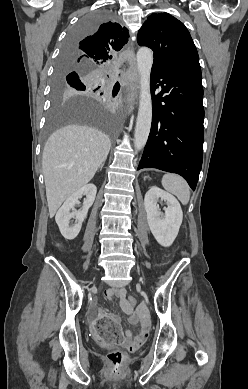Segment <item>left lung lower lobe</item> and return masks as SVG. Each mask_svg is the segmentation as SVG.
I'll return each instance as SVG.
<instances>
[{"mask_svg": "<svg viewBox=\"0 0 248 389\" xmlns=\"http://www.w3.org/2000/svg\"><path fill=\"white\" fill-rule=\"evenodd\" d=\"M159 85L161 91L156 95ZM150 87L152 125L138 170L157 168L177 173L195 190L204 141L200 66H152Z\"/></svg>", "mask_w": 248, "mask_h": 389, "instance_id": "1", "label": "left lung lower lobe"}]
</instances>
